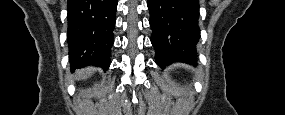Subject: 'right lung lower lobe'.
Instances as JSON below:
<instances>
[{
  "mask_svg": "<svg viewBox=\"0 0 285 115\" xmlns=\"http://www.w3.org/2000/svg\"><path fill=\"white\" fill-rule=\"evenodd\" d=\"M69 60L72 70L110 65L117 0H68Z\"/></svg>",
  "mask_w": 285,
  "mask_h": 115,
  "instance_id": "right-lung-lower-lobe-1",
  "label": "right lung lower lobe"
}]
</instances>
